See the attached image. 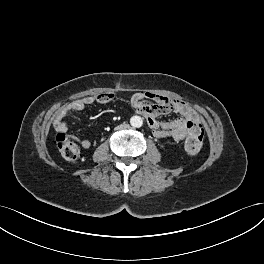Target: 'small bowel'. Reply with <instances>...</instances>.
I'll return each instance as SVG.
<instances>
[{
  "label": "small bowel",
  "instance_id": "c3829d8e",
  "mask_svg": "<svg viewBox=\"0 0 264 264\" xmlns=\"http://www.w3.org/2000/svg\"><path fill=\"white\" fill-rule=\"evenodd\" d=\"M115 97L114 93L106 92L93 97L75 100L63 106L55 115V130L58 133L66 132L67 126L64 119L69 112H80L86 106L93 104H106L113 101ZM130 102L135 111L146 118L156 138L171 137L176 141H181L188 135L190 123H199L197 113L188 104L178 99H172L155 93L137 92L132 95ZM172 111L179 114L180 118L170 121L157 120L158 116L168 114ZM72 138L83 148H90L93 145V142L88 139H81L76 136H72Z\"/></svg>",
  "mask_w": 264,
  "mask_h": 264
}]
</instances>
